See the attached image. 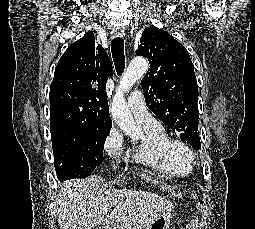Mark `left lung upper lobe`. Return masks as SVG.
<instances>
[{
	"label": "left lung upper lobe",
	"instance_id": "obj_1",
	"mask_svg": "<svg viewBox=\"0 0 255 229\" xmlns=\"http://www.w3.org/2000/svg\"><path fill=\"white\" fill-rule=\"evenodd\" d=\"M136 55L147 57L150 63L141 81L147 107L200 149L198 86L188 51L168 32L151 26L144 29Z\"/></svg>",
	"mask_w": 255,
	"mask_h": 229
}]
</instances>
